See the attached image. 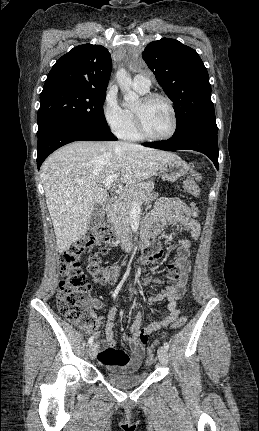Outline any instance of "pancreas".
I'll return each instance as SVG.
<instances>
[{
  "label": "pancreas",
  "instance_id": "obj_1",
  "mask_svg": "<svg viewBox=\"0 0 259 431\" xmlns=\"http://www.w3.org/2000/svg\"><path fill=\"white\" fill-rule=\"evenodd\" d=\"M153 188L154 183L152 181L133 184L119 197L109 215L110 221L119 236H125L130 233L129 219L133 206L136 203L142 204L145 202Z\"/></svg>",
  "mask_w": 259,
  "mask_h": 431
}]
</instances>
